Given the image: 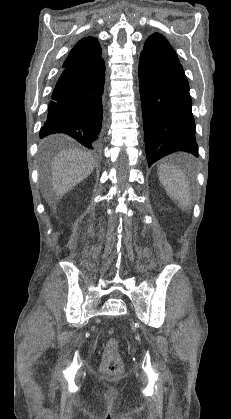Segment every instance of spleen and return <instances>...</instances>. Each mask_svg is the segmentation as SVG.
<instances>
[{
  "label": "spleen",
  "mask_w": 231,
  "mask_h": 419,
  "mask_svg": "<svg viewBox=\"0 0 231 419\" xmlns=\"http://www.w3.org/2000/svg\"><path fill=\"white\" fill-rule=\"evenodd\" d=\"M158 176L168 195L182 208L188 207L191 194L184 172L173 164L163 163L158 168Z\"/></svg>",
  "instance_id": "3e777b00"
}]
</instances>
